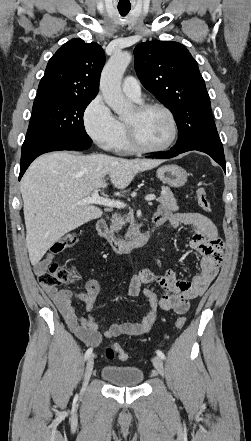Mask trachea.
<instances>
[{"label": "trachea", "mask_w": 251, "mask_h": 441, "mask_svg": "<svg viewBox=\"0 0 251 441\" xmlns=\"http://www.w3.org/2000/svg\"><path fill=\"white\" fill-rule=\"evenodd\" d=\"M118 10L122 16H126L129 13L130 8H118Z\"/></svg>", "instance_id": "obj_1"}]
</instances>
